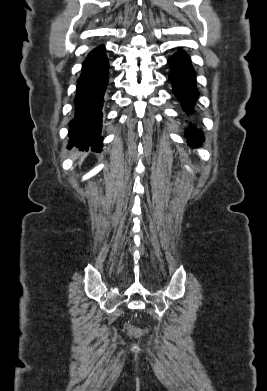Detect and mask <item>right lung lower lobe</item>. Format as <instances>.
Wrapping results in <instances>:
<instances>
[{
    "label": "right lung lower lobe",
    "mask_w": 267,
    "mask_h": 391,
    "mask_svg": "<svg viewBox=\"0 0 267 391\" xmlns=\"http://www.w3.org/2000/svg\"><path fill=\"white\" fill-rule=\"evenodd\" d=\"M109 82V63L104 46L92 50L82 66L77 82L75 117L70 122V143L80 150L100 152L104 94Z\"/></svg>",
    "instance_id": "right-lung-lower-lobe-1"
}]
</instances>
